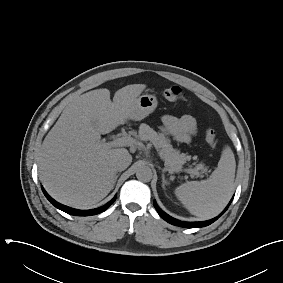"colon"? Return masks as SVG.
Returning a JSON list of instances; mask_svg holds the SVG:
<instances>
[{"mask_svg": "<svg viewBox=\"0 0 283 283\" xmlns=\"http://www.w3.org/2000/svg\"><path fill=\"white\" fill-rule=\"evenodd\" d=\"M161 94L167 100H177L183 97L182 90L177 86L164 89ZM205 140L211 147H215L217 144L216 132L212 129H207L205 131Z\"/></svg>", "mask_w": 283, "mask_h": 283, "instance_id": "1", "label": "colon"}]
</instances>
